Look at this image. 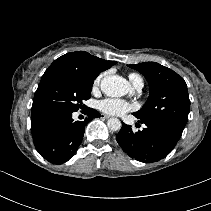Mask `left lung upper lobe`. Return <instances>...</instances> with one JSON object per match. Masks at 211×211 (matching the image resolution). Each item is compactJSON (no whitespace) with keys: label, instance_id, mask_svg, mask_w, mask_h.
I'll use <instances>...</instances> for the list:
<instances>
[{"label":"left lung upper lobe","instance_id":"obj_1","mask_svg":"<svg viewBox=\"0 0 211 211\" xmlns=\"http://www.w3.org/2000/svg\"><path fill=\"white\" fill-rule=\"evenodd\" d=\"M128 66L143 74L150 87L147 102L133 115L143 121L164 122L173 129L183 132L190 110L184 79L173 70L155 62Z\"/></svg>","mask_w":211,"mask_h":211}]
</instances>
